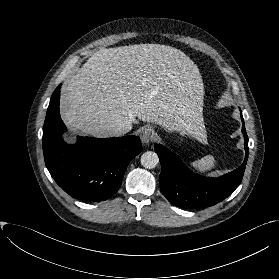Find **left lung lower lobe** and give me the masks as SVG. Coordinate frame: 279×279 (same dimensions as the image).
Instances as JSON below:
<instances>
[{
	"mask_svg": "<svg viewBox=\"0 0 279 279\" xmlns=\"http://www.w3.org/2000/svg\"><path fill=\"white\" fill-rule=\"evenodd\" d=\"M245 160L232 172L218 178L203 177L193 173L170 150L155 145L161 163L160 189L174 206L199 209L213 206L227 198L241 183L248 158V136L241 113Z\"/></svg>",
	"mask_w": 279,
	"mask_h": 279,
	"instance_id": "0a47b994",
	"label": "left lung lower lobe"
}]
</instances>
